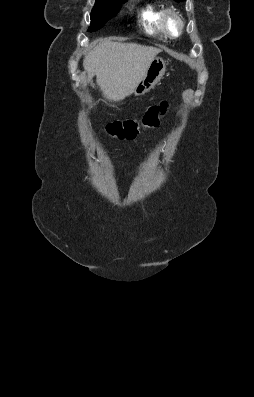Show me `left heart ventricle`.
I'll return each mask as SVG.
<instances>
[{
  "label": "left heart ventricle",
  "instance_id": "left-heart-ventricle-1",
  "mask_svg": "<svg viewBox=\"0 0 254 397\" xmlns=\"http://www.w3.org/2000/svg\"><path fill=\"white\" fill-rule=\"evenodd\" d=\"M169 27H170V29H171L172 31H174V32L177 31L178 25H177V22H176L175 19H173V18H170V19H169Z\"/></svg>",
  "mask_w": 254,
  "mask_h": 397
}]
</instances>
